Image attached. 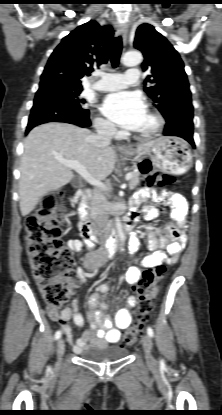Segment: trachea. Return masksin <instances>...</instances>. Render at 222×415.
Wrapping results in <instances>:
<instances>
[{
	"mask_svg": "<svg viewBox=\"0 0 222 415\" xmlns=\"http://www.w3.org/2000/svg\"><path fill=\"white\" fill-rule=\"evenodd\" d=\"M122 52V38L118 36L114 40V45L111 53V64L113 68L119 65L120 56Z\"/></svg>",
	"mask_w": 222,
	"mask_h": 415,
	"instance_id": "obj_1",
	"label": "trachea"
}]
</instances>
